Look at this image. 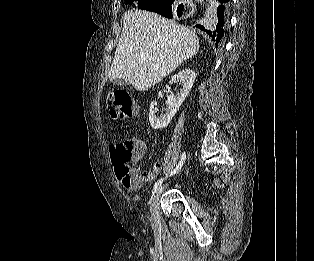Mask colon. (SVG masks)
Segmentation results:
<instances>
[{
	"label": "colon",
	"instance_id": "5ec220e1",
	"mask_svg": "<svg viewBox=\"0 0 314 261\" xmlns=\"http://www.w3.org/2000/svg\"><path fill=\"white\" fill-rule=\"evenodd\" d=\"M110 116L115 121L131 118L137 112V104L130 94L121 88L110 91ZM111 157L115 174L126 188H136L144 180L143 174L134 168V160L142 152L139 140L127 138L111 147Z\"/></svg>",
	"mask_w": 314,
	"mask_h": 261
}]
</instances>
